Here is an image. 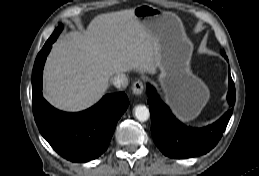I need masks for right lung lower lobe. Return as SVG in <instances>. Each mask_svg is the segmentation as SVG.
Segmentation results:
<instances>
[{
	"label": "right lung lower lobe",
	"instance_id": "right-lung-lower-lobe-1",
	"mask_svg": "<svg viewBox=\"0 0 259 176\" xmlns=\"http://www.w3.org/2000/svg\"><path fill=\"white\" fill-rule=\"evenodd\" d=\"M52 35L36 57L32 71L33 114L40 133L52 148L72 162L99 157L108 147L116 124L129 101L124 92L105 95L93 107L66 113L52 107L42 95V73L52 43Z\"/></svg>",
	"mask_w": 259,
	"mask_h": 176
}]
</instances>
